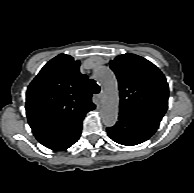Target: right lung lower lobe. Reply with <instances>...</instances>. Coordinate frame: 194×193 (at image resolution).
I'll return each instance as SVG.
<instances>
[{"label": "right lung lower lobe", "mask_w": 194, "mask_h": 193, "mask_svg": "<svg viewBox=\"0 0 194 193\" xmlns=\"http://www.w3.org/2000/svg\"><path fill=\"white\" fill-rule=\"evenodd\" d=\"M83 118L81 117L58 130L35 137L42 145L49 149L65 150L80 138Z\"/></svg>", "instance_id": "obj_1"}]
</instances>
